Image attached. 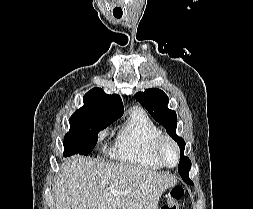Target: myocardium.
<instances>
[{"mask_svg": "<svg viewBox=\"0 0 253 209\" xmlns=\"http://www.w3.org/2000/svg\"><path fill=\"white\" fill-rule=\"evenodd\" d=\"M165 143H170L176 153V162L174 165H170L166 162L164 155H163V148ZM153 155L155 158L166 168H174L179 164L180 161V148L177 144V142L169 135L167 134H161L157 137V139L154 142L153 148H152Z\"/></svg>", "mask_w": 253, "mask_h": 209, "instance_id": "myocardium-1", "label": "myocardium"}]
</instances>
